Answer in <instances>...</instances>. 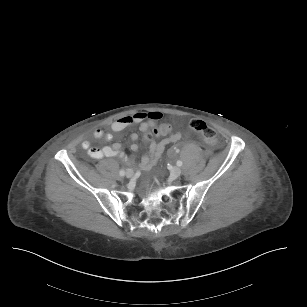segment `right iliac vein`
Instances as JSON below:
<instances>
[{
  "label": "right iliac vein",
  "instance_id": "1",
  "mask_svg": "<svg viewBox=\"0 0 307 307\" xmlns=\"http://www.w3.org/2000/svg\"><path fill=\"white\" fill-rule=\"evenodd\" d=\"M134 170L133 169H127V171H126V177L127 178H131V177H133L134 176Z\"/></svg>",
  "mask_w": 307,
  "mask_h": 307
}]
</instances>
